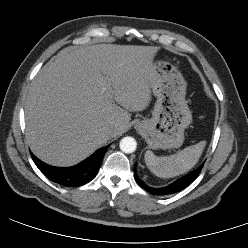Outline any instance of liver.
<instances>
[{
    "mask_svg": "<svg viewBox=\"0 0 248 248\" xmlns=\"http://www.w3.org/2000/svg\"><path fill=\"white\" fill-rule=\"evenodd\" d=\"M158 50L116 44L61 50L28 90L26 139L33 153L48 164L72 166L126 132L129 111H142L151 101Z\"/></svg>",
    "mask_w": 248,
    "mask_h": 248,
    "instance_id": "1",
    "label": "liver"
}]
</instances>
